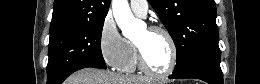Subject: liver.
<instances>
[{"instance_id":"1","label":"liver","mask_w":260,"mask_h":84,"mask_svg":"<svg viewBox=\"0 0 260 84\" xmlns=\"http://www.w3.org/2000/svg\"><path fill=\"white\" fill-rule=\"evenodd\" d=\"M68 84H151V80L137 75H120L95 68L81 69L70 76Z\"/></svg>"}]
</instances>
